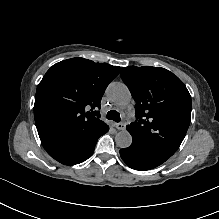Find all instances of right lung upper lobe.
Segmentation results:
<instances>
[{"instance_id":"obj_1","label":"right lung upper lobe","mask_w":219,"mask_h":219,"mask_svg":"<svg viewBox=\"0 0 219 219\" xmlns=\"http://www.w3.org/2000/svg\"><path fill=\"white\" fill-rule=\"evenodd\" d=\"M120 67L72 58L53 65L39 83L34 118L41 142L86 137L105 125L101 98Z\"/></svg>"}]
</instances>
